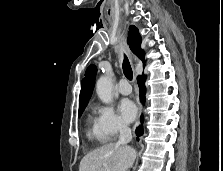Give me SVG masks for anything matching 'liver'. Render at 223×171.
Segmentation results:
<instances>
[{"mask_svg": "<svg viewBox=\"0 0 223 171\" xmlns=\"http://www.w3.org/2000/svg\"><path fill=\"white\" fill-rule=\"evenodd\" d=\"M135 158L133 148L109 143L85 155L79 171H128Z\"/></svg>", "mask_w": 223, "mask_h": 171, "instance_id": "6515ba94", "label": "liver"}]
</instances>
